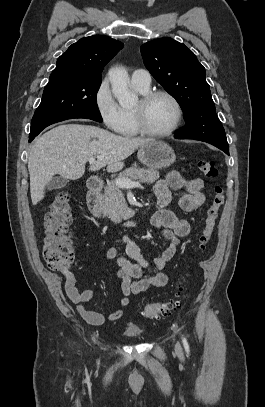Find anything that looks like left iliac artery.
<instances>
[{"label": "left iliac artery", "mask_w": 265, "mask_h": 407, "mask_svg": "<svg viewBox=\"0 0 265 407\" xmlns=\"http://www.w3.org/2000/svg\"><path fill=\"white\" fill-rule=\"evenodd\" d=\"M183 343H184V346H185L186 352L189 354V346H188L187 341H186V339H185V338H183Z\"/></svg>", "instance_id": "44dca946"}]
</instances>
